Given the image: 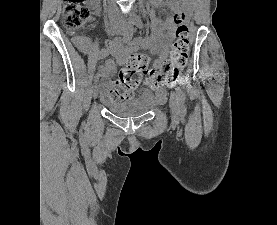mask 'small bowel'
Returning a JSON list of instances; mask_svg holds the SVG:
<instances>
[{
  "label": "small bowel",
  "mask_w": 277,
  "mask_h": 225,
  "mask_svg": "<svg viewBox=\"0 0 277 225\" xmlns=\"http://www.w3.org/2000/svg\"><path fill=\"white\" fill-rule=\"evenodd\" d=\"M150 3L154 8H161L165 4L170 5L173 9L178 8L173 0H150ZM89 6L97 10L98 0H89ZM151 18V31L152 34L147 38H137L129 43V48L123 46L124 42L120 39H115L114 41H107L105 49L97 52L93 57L94 60L105 59L108 56L113 58L107 59L102 65L96 75L95 81L98 82L100 87L105 90L113 78L116 72V63H121L127 54L128 49H142L148 51L149 53L156 56L154 62V67L159 68L164 62L167 56L168 46L173 39V24L171 16H168L167 19L161 20L155 16L152 12L150 15ZM147 85L155 91L156 100L163 101L166 97V90L164 88H158L154 84V80L149 78L146 81Z\"/></svg>",
  "instance_id": "1"
}]
</instances>
